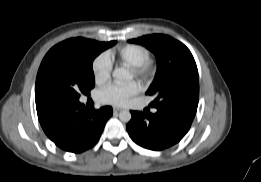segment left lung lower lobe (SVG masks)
Instances as JSON below:
<instances>
[{
    "mask_svg": "<svg viewBox=\"0 0 261 182\" xmlns=\"http://www.w3.org/2000/svg\"><path fill=\"white\" fill-rule=\"evenodd\" d=\"M196 111L186 106L157 109L155 114L131 111L132 118L126 129L138 145L150 150H163L184 137Z\"/></svg>",
    "mask_w": 261,
    "mask_h": 182,
    "instance_id": "obj_1",
    "label": "left lung lower lobe"
}]
</instances>
